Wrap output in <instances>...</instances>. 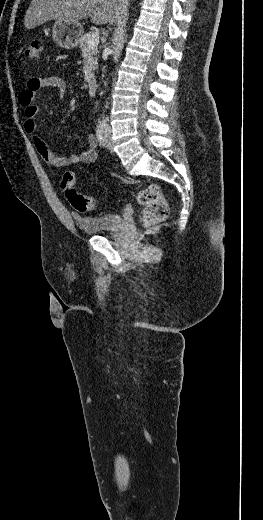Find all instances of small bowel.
Segmentation results:
<instances>
[{"label": "small bowel", "mask_w": 263, "mask_h": 520, "mask_svg": "<svg viewBox=\"0 0 263 520\" xmlns=\"http://www.w3.org/2000/svg\"><path fill=\"white\" fill-rule=\"evenodd\" d=\"M54 88L60 95L66 91V83L59 76L45 78H31L27 81L24 89L19 95V102L24 108V129L33 136V142L41 158L54 167H65L75 164H92L97 159L96 139L93 134H87L88 148L82 153H74L69 156L53 152L48 145L37 134V122L35 117L39 107L34 104L35 94L42 88Z\"/></svg>", "instance_id": "small-bowel-1"}]
</instances>
